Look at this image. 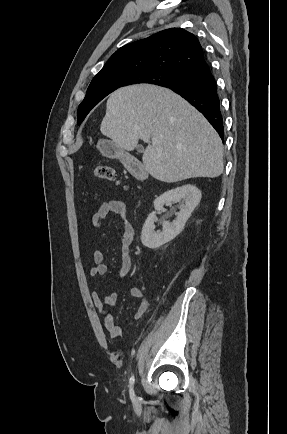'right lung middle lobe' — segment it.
Segmentation results:
<instances>
[{"label": "right lung middle lobe", "mask_w": 287, "mask_h": 434, "mask_svg": "<svg viewBox=\"0 0 287 434\" xmlns=\"http://www.w3.org/2000/svg\"><path fill=\"white\" fill-rule=\"evenodd\" d=\"M181 77L180 74H170L161 71H149L135 76L119 75L102 79L92 80L84 100L78 108V124H80L86 115L108 94L116 89L131 85L148 83L160 86L173 84Z\"/></svg>", "instance_id": "1"}]
</instances>
